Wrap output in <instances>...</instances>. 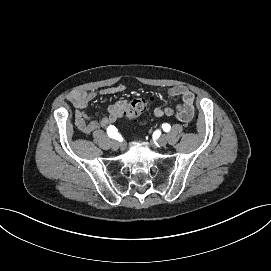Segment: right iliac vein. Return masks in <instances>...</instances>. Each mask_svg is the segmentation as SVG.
I'll use <instances>...</instances> for the list:
<instances>
[{"mask_svg":"<svg viewBox=\"0 0 271 271\" xmlns=\"http://www.w3.org/2000/svg\"><path fill=\"white\" fill-rule=\"evenodd\" d=\"M111 146H112V148L114 149V150H117L118 148H119V143L117 142V141H112V144H111Z\"/></svg>","mask_w":271,"mask_h":271,"instance_id":"obj_1","label":"right iliac vein"}]
</instances>
